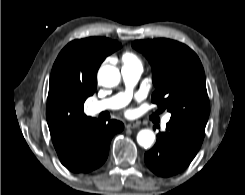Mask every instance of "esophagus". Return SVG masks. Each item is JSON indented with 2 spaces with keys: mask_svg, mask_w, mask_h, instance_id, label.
Listing matches in <instances>:
<instances>
[{
  "mask_svg": "<svg viewBox=\"0 0 245 195\" xmlns=\"http://www.w3.org/2000/svg\"><path fill=\"white\" fill-rule=\"evenodd\" d=\"M139 123L138 122H135V123H128L126 124V128L128 129H135V128H138L139 127Z\"/></svg>",
  "mask_w": 245,
  "mask_h": 195,
  "instance_id": "34e87169",
  "label": "esophagus"
}]
</instances>
